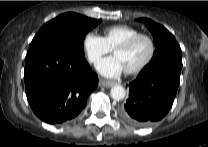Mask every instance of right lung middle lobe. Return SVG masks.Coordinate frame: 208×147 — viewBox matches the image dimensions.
Segmentation results:
<instances>
[{"label":"right lung middle lobe","instance_id":"1","mask_svg":"<svg viewBox=\"0 0 208 147\" xmlns=\"http://www.w3.org/2000/svg\"><path fill=\"white\" fill-rule=\"evenodd\" d=\"M100 22L101 19H92L72 12L61 14L40 28L33 38L27 54L40 49L59 46L85 57L84 38Z\"/></svg>","mask_w":208,"mask_h":147}]
</instances>
